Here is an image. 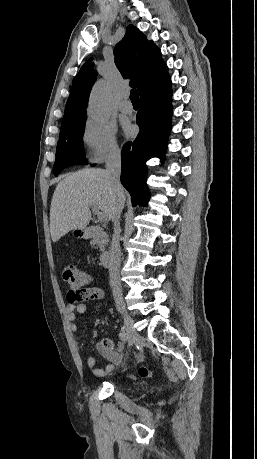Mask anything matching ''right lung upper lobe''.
Listing matches in <instances>:
<instances>
[{
	"instance_id": "cb5924a9",
	"label": "right lung upper lobe",
	"mask_w": 257,
	"mask_h": 459,
	"mask_svg": "<svg viewBox=\"0 0 257 459\" xmlns=\"http://www.w3.org/2000/svg\"><path fill=\"white\" fill-rule=\"evenodd\" d=\"M114 55L120 73L124 78L132 79L130 86L136 87L139 94L167 75V65L161 58L160 50L133 25L127 27L124 38L115 46ZM93 67L94 63L88 60L74 80L60 134L86 120L85 106L97 76Z\"/></svg>"
}]
</instances>
